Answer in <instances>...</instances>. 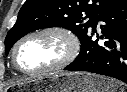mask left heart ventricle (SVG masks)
Returning <instances> with one entry per match:
<instances>
[{
  "label": "left heart ventricle",
  "mask_w": 127,
  "mask_h": 92,
  "mask_svg": "<svg viewBox=\"0 0 127 92\" xmlns=\"http://www.w3.org/2000/svg\"><path fill=\"white\" fill-rule=\"evenodd\" d=\"M66 40L56 34H44L25 41L18 52V62L23 69L36 70L55 65L66 54Z\"/></svg>",
  "instance_id": "1"
}]
</instances>
